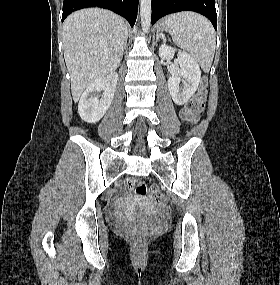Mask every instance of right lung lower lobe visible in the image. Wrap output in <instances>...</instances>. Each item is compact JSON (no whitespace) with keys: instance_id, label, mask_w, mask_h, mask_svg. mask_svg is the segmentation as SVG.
<instances>
[{"instance_id":"obj_1","label":"right lung lower lobe","mask_w":280,"mask_h":285,"mask_svg":"<svg viewBox=\"0 0 280 285\" xmlns=\"http://www.w3.org/2000/svg\"><path fill=\"white\" fill-rule=\"evenodd\" d=\"M139 0H64L62 22L72 12L87 8H106L123 16L131 26H134Z\"/></svg>"}]
</instances>
